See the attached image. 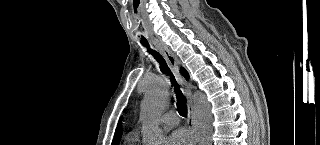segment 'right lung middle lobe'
I'll list each match as a JSON object with an SVG mask.
<instances>
[{"label":"right lung middle lobe","instance_id":"dd1d6c3e","mask_svg":"<svg viewBox=\"0 0 320 145\" xmlns=\"http://www.w3.org/2000/svg\"><path fill=\"white\" fill-rule=\"evenodd\" d=\"M112 145H116V143H112Z\"/></svg>","mask_w":320,"mask_h":145}]
</instances>
